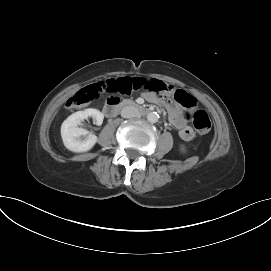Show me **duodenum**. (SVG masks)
<instances>
[{
  "mask_svg": "<svg viewBox=\"0 0 271 271\" xmlns=\"http://www.w3.org/2000/svg\"><path fill=\"white\" fill-rule=\"evenodd\" d=\"M133 107L139 114H146L148 111L147 109L143 108L140 105H137L131 101L128 100H120V99H110L107 101L105 107H104V114L107 117H114L117 112L122 108V107Z\"/></svg>",
  "mask_w": 271,
  "mask_h": 271,
  "instance_id": "duodenum-1",
  "label": "duodenum"
}]
</instances>
